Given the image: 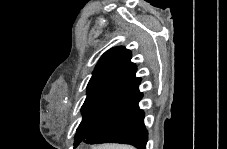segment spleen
Here are the masks:
<instances>
[{
	"label": "spleen",
	"mask_w": 227,
	"mask_h": 149,
	"mask_svg": "<svg viewBox=\"0 0 227 149\" xmlns=\"http://www.w3.org/2000/svg\"><path fill=\"white\" fill-rule=\"evenodd\" d=\"M106 149H132L129 146H124V145H111V146H106L104 147Z\"/></svg>",
	"instance_id": "3e777b00"
}]
</instances>
